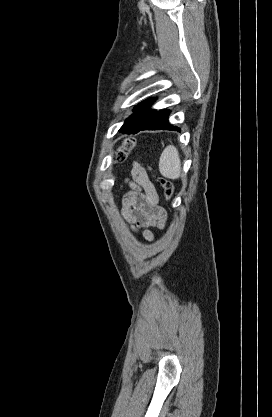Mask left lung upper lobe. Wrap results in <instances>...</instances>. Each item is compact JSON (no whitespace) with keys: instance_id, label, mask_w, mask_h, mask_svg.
<instances>
[{"instance_id":"1","label":"left lung upper lobe","mask_w":272,"mask_h":417,"mask_svg":"<svg viewBox=\"0 0 272 417\" xmlns=\"http://www.w3.org/2000/svg\"><path fill=\"white\" fill-rule=\"evenodd\" d=\"M154 101V98H149L136 106L133 110L134 114L125 121L119 131L130 134L133 130L140 128L156 112V110L148 109Z\"/></svg>"}]
</instances>
